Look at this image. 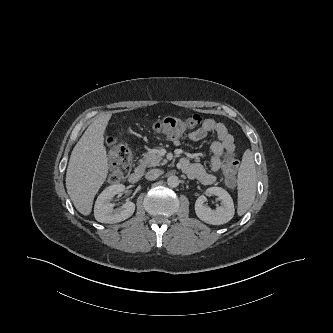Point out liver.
Returning a JSON list of instances; mask_svg holds the SVG:
<instances>
[{"mask_svg":"<svg viewBox=\"0 0 333 333\" xmlns=\"http://www.w3.org/2000/svg\"><path fill=\"white\" fill-rule=\"evenodd\" d=\"M111 116V112L101 115L86 129L74 147L67 167L68 195L84 216L91 213L94 197L108 175L104 132Z\"/></svg>","mask_w":333,"mask_h":333,"instance_id":"1","label":"liver"}]
</instances>
